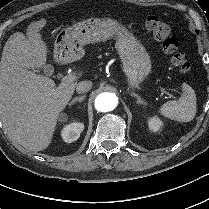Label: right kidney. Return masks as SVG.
Masks as SVG:
<instances>
[{"label":"right kidney","mask_w":209,"mask_h":209,"mask_svg":"<svg viewBox=\"0 0 209 209\" xmlns=\"http://www.w3.org/2000/svg\"><path fill=\"white\" fill-rule=\"evenodd\" d=\"M66 120L67 115L64 113L61 115V121L65 122ZM83 129L84 125L82 123L72 122L62 129L61 136L65 142L71 143L76 141L80 137V134L83 131Z\"/></svg>","instance_id":"ca27d5eb"}]
</instances>
